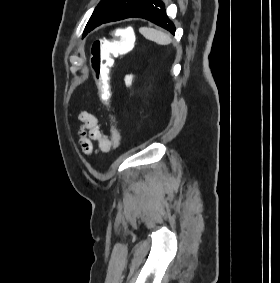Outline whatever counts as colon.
Masks as SVG:
<instances>
[{"mask_svg":"<svg viewBox=\"0 0 280 283\" xmlns=\"http://www.w3.org/2000/svg\"><path fill=\"white\" fill-rule=\"evenodd\" d=\"M134 25H119L114 32L117 37L97 39L91 45V68L101 100L108 104L111 97L110 69L113 65V55H127L137 41ZM114 143L118 146L120 137L117 134Z\"/></svg>","mask_w":280,"mask_h":283,"instance_id":"5ec220e1","label":"colon"}]
</instances>
